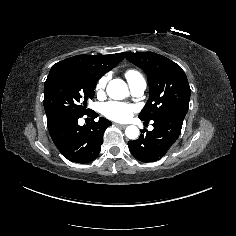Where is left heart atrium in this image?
I'll use <instances>...</instances> for the list:
<instances>
[{"label": "left heart atrium", "mask_w": 236, "mask_h": 236, "mask_svg": "<svg viewBox=\"0 0 236 236\" xmlns=\"http://www.w3.org/2000/svg\"><path fill=\"white\" fill-rule=\"evenodd\" d=\"M135 111L136 108L133 105L116 101H109L101 107V113L114 121H124Z\"/></svg>", "instance_id": "left-heart-atrium-1"}]
</instances>
